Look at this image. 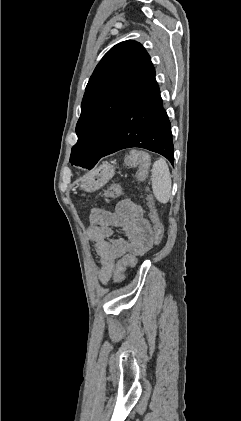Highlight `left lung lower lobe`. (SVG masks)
Here are the masks:
<instances>
[{"instance_id":"left-lung-lower-lobe-1","label":"left lung lower lobe","mask_w":241,"mask_h":421,"mask_svg":"<svg viewBox=\"0 0 241 421\" xmlns=\"http://www.w3.org/2000/svg\"><path fill=\"white\" fill-rule=\"evenodd\" d=\"M131 147H140L159 153L174 163L171 124L162 107L155 70L148 63L137 84L117 129L100 158ZM98 160L82 165L92 169Z\"/></svg>"}]
</instances>
